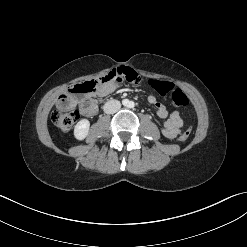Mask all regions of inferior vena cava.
<instances>
[{"mask_svg":"<svg viewBox=\"0 0 247 247\" xmlns=\"http://www.w3.org/2000/svg\"><path fill=\"white\" fill-rule=\"evenodd\" d=\"M121 108V103L118 100H110L105 103L103 109L106 114H113Z\"/></svg>","mask_w":247,"mask_h":247,"instance_id":"inferior-vena-cava-1","label":"inferior vena cava"}]
</instances>
